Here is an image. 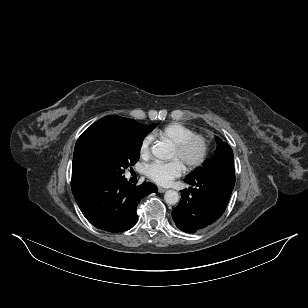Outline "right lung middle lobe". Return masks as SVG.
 <instances>
[{
  "label": "right lung middle lobe",
  "mask_w": 308,
  "mask_h": 308,
  "mask_svg": "<svg viewBox=\"0 0 308 308\" xmlns=\"http://www.w3.org/2000/svg\"><path fill=\"white\" fill-rule=\"evenodd\" d=\"M157 125H143L136 136L118 139L103 146L96 157L98 178L123 177L124 170L138 161L145 135Z\"/></svg>",
  "instance_id": "obj_1"
}]
</instances>
